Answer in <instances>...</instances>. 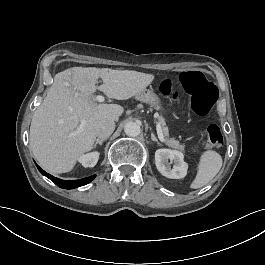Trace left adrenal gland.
<instances>
[{
	"label": "left adrenal gland",
	"mask_w": 265,
	"mask_h": 265,
	"mask_svg": "<svg viewBox=\"0 0 265 265\" xmlns=\"http://www.w3.org/2000/svg\"><path fill=\"white\" fill-rule=\"evenodd\" d=\"M151 140H152V141H156L157 144L160 145V146L162 145V144L157 140V138L155 137V135H154L153 133H151Z\"/></svg>",
	"instance_id": "obj_1"
}]
</instances>
